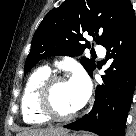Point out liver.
Returning <instances> with one entry per match:
<instances>
[{
	"mask_svg": "<svg viewBox=\"0 0 136 136\" xmlns=\"http://www.w3.org/2000/svg\"><path fill=\"white\" fill-rule=\"evenodd\" d=\"M68 132L66 129L60 127H49L45 129H30L22 133H19L17 136H54L59 133Z\"/></svg>",
	"mask_w": 136,
	"mask_h": 136,
	"instance_id": "1",
	"label": "liver"
}]
</instances>
